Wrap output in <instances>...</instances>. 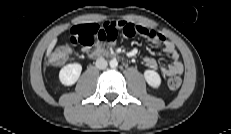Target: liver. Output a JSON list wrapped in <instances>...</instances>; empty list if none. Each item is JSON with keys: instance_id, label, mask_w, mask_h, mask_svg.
<instances>
[{"instance_id": "obj_1", "label": "liver", "mask_w": 231, "mask_h": 134, "mask_svg": "<svg viewBox=\"0 0 231 134\" xmlns=\"http://www.w3.org/2000/svg\"><path fill=\"white\" fill-rule=\"evenodd\" d=\"M56 43H57V38H54L51 41V43L49 44L48 48H47V52H46L47 57L50 56V54H51L53 48L55 47Z\"/></svg>"}]
</instances>
